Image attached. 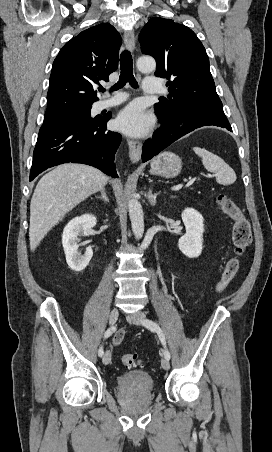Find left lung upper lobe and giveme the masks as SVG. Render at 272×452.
<instances>
[{
  "label": "left lung upper lobe",
  "mask_w": 272,
  "mask_h": 452,
  "mask_svg": "<svg viewBox=\"0 0 272 452\" xmlns=\"http://www.w3.org/2000/svg\"><path fill=\"white\" fill-rule=\"evenodd\" d=\"M142 53L156 59L155 75L168 80L170 94L155 104L159 116L179 120L225 115L201 41L171 19L151 18L141 33Z\"/></svg>",
  "instance_id": "1"
}]
</instances>
